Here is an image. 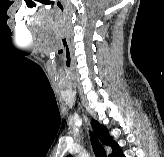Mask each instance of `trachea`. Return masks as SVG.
I'll return each instance as SVG.
<instances>
[{
	"label": "trachea",
	"mask_w": 164,
	"mask_h": 157,
	"mask_svg": "<svg viewBox=\"0 0 164 157\" xmlns=\"http://www.w3.org/2000/svg\"><path fill=\"white\" fill-rule=\"evenodd\" d=\"M91 145L96 157H106V153L99 141L91 134Z\"/></svg>",
	"instance_id": "3493384b"
}]
</instances>
